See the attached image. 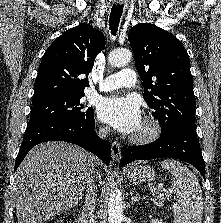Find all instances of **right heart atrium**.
<instances>
[{
    "label": "right heart atrium",
    "mask_w": 221,
    "mask_h": 223,
    "mask_svg": "<svg viewBox=\"0 0 221 223\" xmlns=\"http://www.w3.org/2000/svg\"><path fill=\"white\" fill-rule=\"evenodd\" d=\"M101 131H105V128L101 127Z\"/></svg>",
    "instance_id": "d8ad5b80"
}]
</instances>
